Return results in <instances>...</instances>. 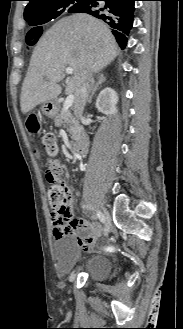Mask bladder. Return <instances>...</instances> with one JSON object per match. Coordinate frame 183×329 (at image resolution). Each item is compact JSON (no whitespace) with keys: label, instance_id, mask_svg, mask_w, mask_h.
Masks as SVG:
<instances>
[{"label":"bladder","instance_id":"1","mask_svg":"<svg viewBox=\"0 0 183 329\" xmlns=\"http://www.w3.org/2000/svg\"><path fill=\"white\" fill-rule=\"evenodd\" d=\"M79 254V246L71 235H64L54 243L57 266L64 274H77L76 263ZM110 271L111 261L109 258L98 254L87 260L81 273L92 281H102L109 275Z\"/></svg>","mask_w":183,"mask_h":329}]
</instances>
